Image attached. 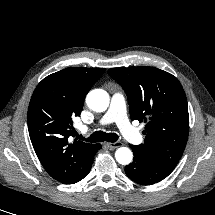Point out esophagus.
Here are the masks:
<instances>
[{
	"mask_svg": "<svg viewBox=\"0 0 215 215\" xmlns=\"http://www.w3.org/2000/svg\"><path fill=\"white\" fill-rule=\"evenodd\" d=\"M106 145L111 149H115V148L123 146V143L122 142H114V143L107 142Z\"/></svg>",
	"mask_w": 215,
	"mask_h": 215,
	"instance_id": "esophagus-1",
	"label": "esophagus"
}]
</instances>
